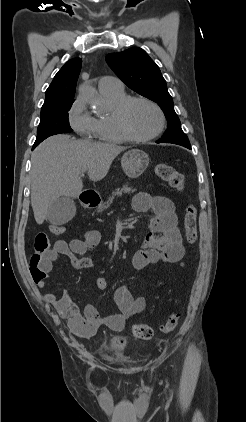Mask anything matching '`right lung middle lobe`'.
I'll use <instances>...</instances> for the list:
<instances>
[{
	"mask_svg": "<svg viewBox=\"0 0 246 422\" xmlns=\"http://www.w3.org/2000/svg\"><path fill=\"white\" fill-rule=\"evenodd\" d=\"M73 102L74 100L61 101L41 108L40 123L33 148L49 136L72 132L69 125L68 111Z\"/></svg>",
	"mask_w": 246,
	"mask_h": 422,
	"instance_id": "right-lung-middle-lobe-1",
	"label": "right lung middle lobe"
}]
</instances>
